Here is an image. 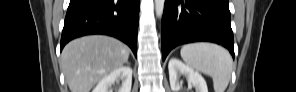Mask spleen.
Listing matches in <instances>:
<instances>
[{"instance_id":"spleen-1","label":"spleen","mask_w":296,"mask_h":92,"mask_svg":"<svg viewBox=\"0 0 296 92\" xmlns=\"http://www.w3.org/2000/svg\"><path fill=\"white\" fill-rule=\"evenodd\" d=\"M180 54L191 68L212 77L215 92H225L232 73L227 50L212 43H191L184 45Z\"/></svg>"}]
</instances>
